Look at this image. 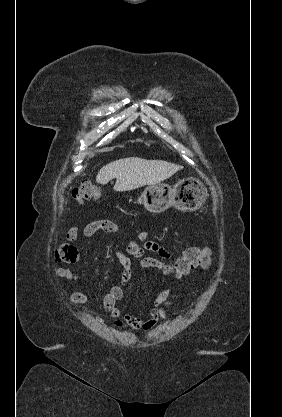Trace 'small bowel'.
Returning <instances> with one entry per match:
<instances>
[{
    "label": "small bowel",
    "instance_id": "small-bowel-1",
    "mask_svg": "<svg viewBox=\"0 0 282 417\" xmlns=\"http://www.w3.org/2000/svg\"><path fill=\"white\" fill-rule=\"evenodd\" d=\"M79 227L72 226L66 234V238L74 242L79 237ZM96 233L105 234H119L121 228L119 225L110 219H98L89 222L83 229L85 237H92ZM147 232H141L137 241H130L127 247V252L120 249L115 250V255L121 264L123 270L121 273L120 284L111 288V290L104 296L103 303L106 311L115 319L114 325L118 328H128L130 330H137L141 332L151 331L160 320L166 318L165 306L168 305L171 298L174 296L173 291L166 289L161 291L155 298L153 307L149 311V317L142 320L134 315L124 313L119 306V301L123 296V286H125L132 278V261L130 257L139 259V265L145 269H157L166 272L169 265L157 258L144 256L145 252H153L158 254L164 260L172 258L171 253L153 241H147ZM54 275L58 278L68 281H77L80 275L69 268L58 267L54 270ZM90 298V293L75 291L70 295L69 301L72 305L84 304Z\"/></svg>",
    "mask_w": 282,
    "mask_h": 417
}]
</instances>
